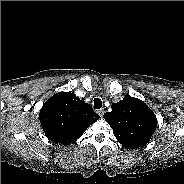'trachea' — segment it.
Masks as SVG:
<instances>
[{
	"mask_svg": "<svg viewBox=\"0 0 184 184\" xmlns=\"http://www.w3.org/2000/svg\"><path fill=\"white\" fill-rule=\"evenodd\" d=\"M102 107V101L100 98H95L94 99V108L95 109H100Z\"/></svg>",
	"mask_w": 184,
	"mask_h": 184,
	"instance_id": "3493384b",
	"label": "trachea"
}]
</instances>
